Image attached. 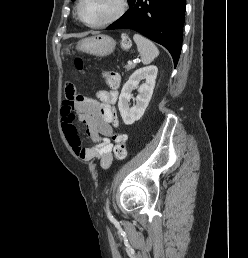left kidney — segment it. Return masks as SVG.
I'll return each mask as SVG.
<instances>
[{"mask_svg": "<svg viewBox=\"0 0 248 258\" xmlns=\"http://www.w3.org/2000/svg\"><path fill=\"white\" fill-rule=\"evenodd\" d=\"M157 73L158 68L155 65L142 67L137 69L124 84L119 96L118 108L126 125H132L144 115L153 94ZM142 79L146 81L138 88L139 95L136 97V105L129 108L131 92L138 87Z\"/></svg>", "mask_w": 248, "mask_h": 258, "instance_id": "obj_1", "label": "left kidney"}]
</instances>
